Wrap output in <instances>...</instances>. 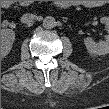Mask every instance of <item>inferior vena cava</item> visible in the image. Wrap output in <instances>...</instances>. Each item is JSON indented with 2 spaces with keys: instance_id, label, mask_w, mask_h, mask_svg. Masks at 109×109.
I'll return each mask as SVG.
<instances>
[{
  "instance_id": "obj_1",
  "label": "inferior vena cava",
  "mask_w": 109,
  "mask_h": 109,
  "mask_svg": "<svg viewBox=\"0 0 109 109\" xmlns=\"http://www.w3.org/2000/svg\"><path fill=\"white\" fill-rule=\"evenodd\" d=\"M36 19V16L33 15V14H30V13H27V14H24L22 17H21V22L22 23H30L32 22L33 20Z\"/></svg>"
}]
</instances>
